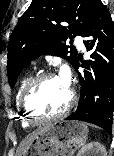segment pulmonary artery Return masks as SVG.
Here are the masks:
<instances>
[{
	"instance_id": "1",
	"label": "pulmonary artery",
	"mask_w": 114,
	"mask_h": 156,
	"mask_svg": "<svg viewBox=\"0 0 114 156\" xmlns=\"http://www.w3.org/2000/svg\"><path fill=\"white\" fill-rule=\"evenodd\" d=\"M76 45L78 46L79 49H83L84 48V44H83V40L81 37H76L75 39Z\"/></svg>"
}]
</instances>
